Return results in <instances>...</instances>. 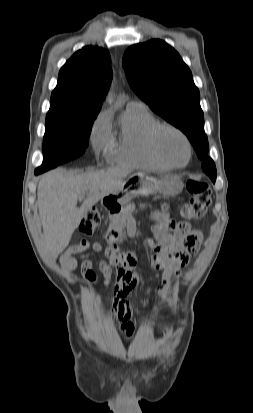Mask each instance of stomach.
Segmentation results:
<instances>
[{
    "instance_id": "0dacf381",
    "label": "stomach",
    "mask_w": 253,
    "mask_h": 413,
    "mask_svg": "<svg viewBox=\"0 0 253 413\" xmlns=\"http://www.w3.org/2000/svg\"><path fill=\"white\" fill-rule=\"evenodd\" d=\"M182 189L183 183L177 176H165L158 179L147 173L138 172L129 176L117 191L104 197V203H112L116 208L136 196H149L157 193L176 196Z\"/></svg>"
}]
</instances>
